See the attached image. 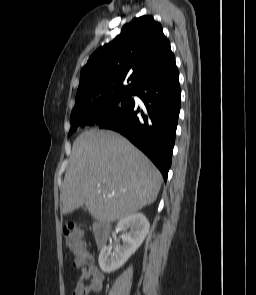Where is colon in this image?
Here are the masks:
<instances>
[{
  "label": "colon",
  "instance_id": "colon-1",
  "mask_svg": "<svg viewBox=\"0 0 256 295\" xmlns=\"http://www.w3.org/2000/svg\"><path fill=\"white\" fill-rule=\"evenodd\" d=\"M63 237L66 247L72 253L74 267L92 263V257L82 243V231L75 224L68 223L64 226Z\"/></svg>",
  "mask_w": 256,
  "mask_h": 295
}]
</instances>
